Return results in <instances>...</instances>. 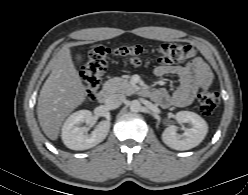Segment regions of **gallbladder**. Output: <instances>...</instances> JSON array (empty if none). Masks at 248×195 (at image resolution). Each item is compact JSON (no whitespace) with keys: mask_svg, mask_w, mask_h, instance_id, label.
I'll list each match as a JSON object with an SVG mask.
<instances>
[{"mask_svg":"<svg viewBox=\"0 0 248 195\" xmlns=\"http://www.w3.org/2000/svg\"><path fill=\"white\" fill-rule=\"evenodd\" d=\"M75 58H76V60H77L78 62H81V61H82V56H81V54H79V53H76V54H75Z\"/></svg>","mask_w":248,"mask_h":195,"instance_id":"1","label":"gallbladder"}]
</instances>
